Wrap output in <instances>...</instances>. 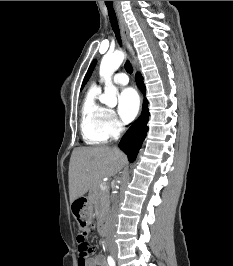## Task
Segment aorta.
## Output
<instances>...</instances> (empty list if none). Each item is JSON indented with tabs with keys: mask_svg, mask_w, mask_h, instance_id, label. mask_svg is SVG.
<instances>
[{
	"mask_svg": "<svg viewBox=\"0 0 233 266\" xmlns=\"http://www.w3.org/2000/svg\"><path fill=\"white\" fill-rule=\"evenodd\" d=\"M125 55L122 51H116L113 54L105 55L100 64V77L105 82L104 94L100 101L110 107L117 104V89L112 83V75L120 67Z\"/></svg>",
	"mask_w": 233,
	"mask_h": 266,
	"instance_id": "obj_1",
	"label": "aorta"
}]
</instances>
